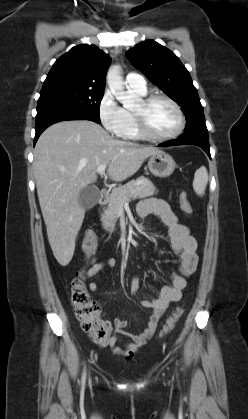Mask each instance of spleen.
<instances>
[{"instance_id":"3e777b00","label":"spleen","mask_w":248,"mask_h":419,"mask_svg":"<svg viewBox=\"0 0 248 419\" xmlns=\"http://www.w3.org/2000/svg\"><path fill=\"white\" fill-rule=\"evenodd\" d=\"M208 183V172L205 166H201L196 170L193 180V189L197 195L203 196L205 194L206 185Z\"/></svg>"}]
</instances>
